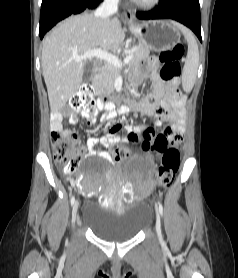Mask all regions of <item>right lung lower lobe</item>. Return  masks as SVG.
<instances>
[{
	"label": "right lung lower lobe",
	"mask_w": 238,
	"mask_h": 278,
	"mask_svg": "<svg viewBox=\"0 0 238 278\" xmlns=\"http://www.w3.org/2000/svg\"><path fill=\"white\" fill-rule=\"evenodd\" d=\"M103 0H42L40 12V39L56 23L71 14L95 8Z\"/></svg>",
	"instance_id": "obj_1"
}]
</instances>
